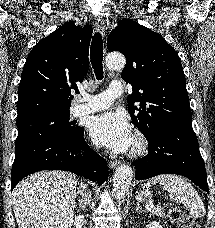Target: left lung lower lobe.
I'll return each instance as SVG.
<instances>
[{"instance_id":"left-lung-lower-lobe-1","label":"left lung lower lobe","mask_w":215,"mask_h":228,"mask_svg":"<svg viewBox=\"0 0 215 228\" xmlns=\"http://www.w3.org/2000/svg\"><path fill=\"white\" fill-rule=\"evenodd\" d=\"M147 140L148 154L134 161L135 179L178 174L189 178L209 193L205 164L191 120L163 124Z\"/></svg>"}]
</instances>
